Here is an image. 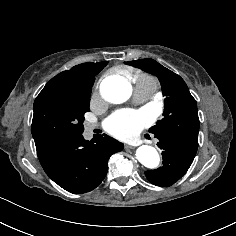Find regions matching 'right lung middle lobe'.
Wrapping results in <instances>:
<instances>
[{"label": "right lung middle lobe", "instance_id": "dd1d6c3e", "mask_svg": "<svg viewBox=\"0 0 236 236\" xmlns=\"http://www.w3.org/2000/svg\"><path fill=\"white\" fill-rule=\"evenodd\" d=\"M89 106L90 94H39L33 107L31 130L34 141L82 134L84 114L89 112Z\"/></svg>", "mask_w": 236, "mask_h": 236}]
</instances>
